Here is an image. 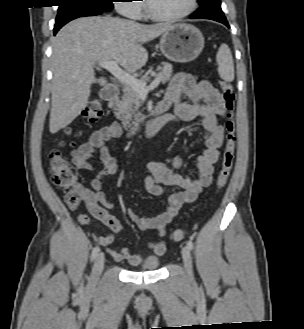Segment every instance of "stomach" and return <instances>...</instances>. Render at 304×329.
<instances>
[{
  "instance_id": "0dacf381",
  "label": "stomach",
  "mask_w": 304,
  "mask_h": 329,
  "mask_svg": "<svg viewBox=\"0 0 304 329\" xmlns=\"http://www.w3.org/2000/svg\"><path fill=\"white\" fill-rule=\"evenodd\" d=\"M204 48V37L190 24L171 25L160 39V50L170 61L187 63L196 59Z\"/></svg>"
}]
</instances>
